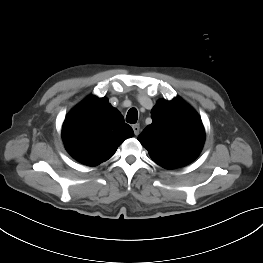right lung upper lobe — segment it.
<instances>
[{"instance_id": "obj_1", "label": "right lung upper lobe", "mask_w": 263, "mask_h": 263, "mask_svg": "<svg viewBox=\"0 0 263 263\" xmlns=\"http://www.w3.org/2000/svg\"><path fill=\"white\" fill-rule=\"evenodd\" d=\"M133 129L106 98L87 97L65 118L62 138L66 150L79 162L96 166L108 160Z\"/></svg>"}]
</instances>
